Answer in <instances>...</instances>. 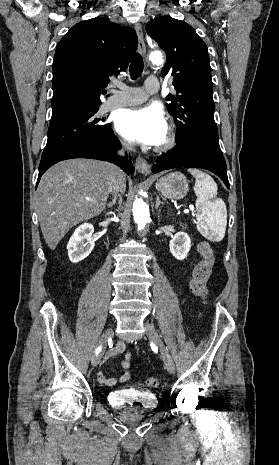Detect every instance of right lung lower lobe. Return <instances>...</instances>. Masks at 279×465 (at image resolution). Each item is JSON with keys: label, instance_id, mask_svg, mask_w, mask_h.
<instances>
[{"label": "right lung lower lobe", "instance_id": "right-lung-lower-lobe-1", "mask_svg": "<svg viewBox=\"0 0 279 465\" xmlns=\"http://www.w3.org/2000/svg\"><path fill=\"white\" fill-rule=\"evenodd\" d=\"M119 148L120 142L113 132L102 138H83L74 141L41 160L37 185L48 168L59 161L72 158H90L113 162L119 165L128 175L132 174L134 167L131 161L117 156L116 151Z\"/></svg>", "mask_w": 279, "mask_h": 465}]
</instances>
